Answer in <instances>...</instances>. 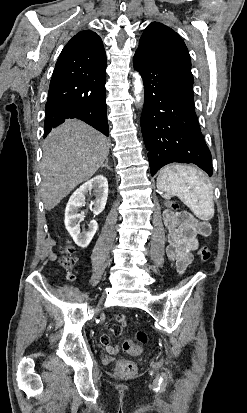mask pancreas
<instances>
[{"instance_id": "pancreas-1", "label": "pancreas", "mask_w": 247, "mask_h": 413, "mask_svg": "<svg viewBox=\"0 0 247 413\" xmlns=\"http://www.w3.org/2000/svg\"><path fill=\"white\" fill-rule=\"evenodd\" d=\"M164 198H170L169 194H164Z\"/></svg>"}]
</instances>
